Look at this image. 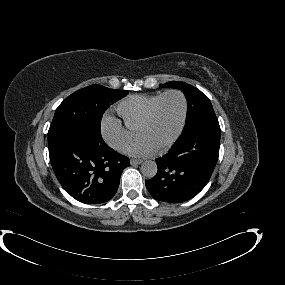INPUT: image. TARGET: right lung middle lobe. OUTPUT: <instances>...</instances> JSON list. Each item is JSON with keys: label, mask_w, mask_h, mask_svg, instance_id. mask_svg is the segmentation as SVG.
<instances>
[{"label": "right lung middle lobe", "mask_w": 285, "mask_h": 285, "mask_svg": "<svg viewBox=\"0 0 285 285\" xmlns=\"http://www.w3.org/2000/svg\"><path fill=\"white\" fill-rule=\"evenodd\" d=\"M127 93L126 90L101 85H91L74 92L56 109L48 131V145L68 132H84L102 138L100 126L104 111Z\"/></svg>", "instance_id": "dd1d6c3e"}]
</instances>
